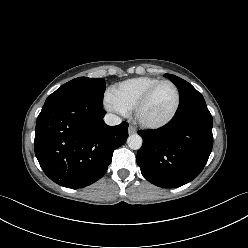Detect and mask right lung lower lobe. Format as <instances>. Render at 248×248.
I'll use <instances>...</instances> for the list:
<instances>
[{"mask_svg": "<svg viewBox=\"0 0 248 248\" xmlns=\"http://www.w3.org/2000/svg\"><path fill=\"white\" fill-rule=\"evenodd\" d=\"M103 106L80 98L45 102L36 123L34 149L44 173L68 188L100 179L113 151L128 137V124L108 126Z\"/></svg>", "mask_w": 248, "mask_h": 248, "instance_id": "98d812e1", "label": "right lung lower lobe"}]
</instances>
